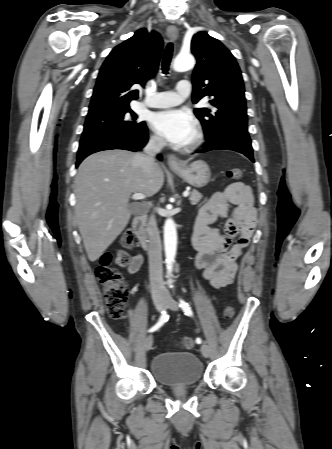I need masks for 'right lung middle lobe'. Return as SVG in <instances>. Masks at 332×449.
Wrapping results in <instances>:
<instances>
[{"instance_id":"obj_1","label":"right lung middle lobe","mask_w":332,"mask_h":449,"mask_svg":"<svg viewBox=\"0 0 332 449\" xmlns=\"http://www.w3.org/2000/svg\"><path fill=\"white\" fill-rule=\"evenodd\" d=\"M136 119L129 107L89 112L82 137L97 133L132 134L145 127L144 122L137 123Z\"/></svg>"}]
</instances>
